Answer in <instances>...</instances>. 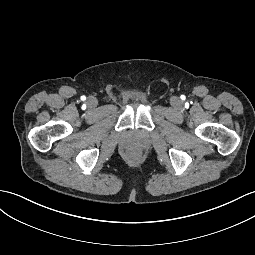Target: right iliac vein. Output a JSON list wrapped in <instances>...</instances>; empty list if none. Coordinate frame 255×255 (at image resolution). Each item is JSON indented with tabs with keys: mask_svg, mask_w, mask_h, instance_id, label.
I'll return each instance as SVG.
<instances>
[{
	"mask_svg": "<svg viewBox=\"0 0 255 255\" xmlns=\"http://www.w3.org/2000/svg\"><path fill=\"white\" fill-rule=\"evenodd\" d=\"M87 106L90 107V108H94L97 106L98 104V101L95 97L91 96V97H88L87 101Z\"/></svg>",
	"mask_w": 255,
	"mask_h": 255,
	"instance_id": "63e3f726",
	"label": "right iliac vein"
}]
</instances>
